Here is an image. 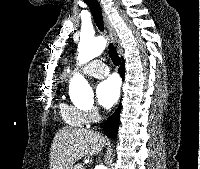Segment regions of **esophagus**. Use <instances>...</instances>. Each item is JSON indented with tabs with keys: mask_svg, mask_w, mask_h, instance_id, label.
<instances>
[{
	"mask_svg": "<svg viewBox=\"0 0 200 169\" xmlns=\"http://www.w3.org/2000/svg\"><path fill=\"white\" fill-rule=\"evenodd\" d=\"M98 2L100 3L101 9H102V15H103L105 24L107 26V29L109 31V34L111 36V39H112V41L114 43H117L118 42L117 34H116V32H115V30H114V28H113V26H112V24H111V22H110V20H109V18L107 16V14L105 12V9H104L103 5L101 4L100 0H98Z\"/></svg>",
	"mask_w": 200,
	"mask_h": 169,
	"instance_id": "34e87169",
	"label": "esophagus"
}]
</instances>
